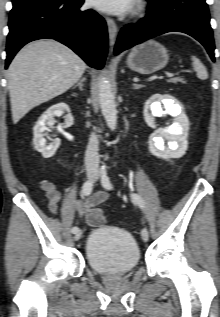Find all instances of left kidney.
Returning a JSON list of instances; mask_svg holds the SVG:
<instances>
[{
    "mask_svg": "<svg viewBox=\"0 0 220 317\" xmlns=\"http://www.w3.org/2000/svg\"><path fill=\"white\" fill-rule=\"evenodd\" d=\"M161 104L164 105L165 112L174 117V122L168 127L158 128L149 136V150L159 158H180L188 148L189 121L178 101L168 94L152 95L144 105L145 122L149 127L156 128L154 117L162 114Z\"/></svg>",
    "mask_w": 220,
    "mask_h": 317,
    "instance_id": "1",
    "label": "left kidney"
}]
</instances>
